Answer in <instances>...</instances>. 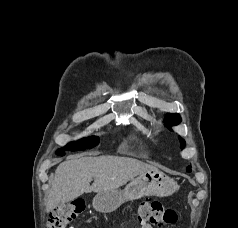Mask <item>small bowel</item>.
<instances>
[{
	"label": "small bowel",
	"mask_w": 238,
	"mask_h": 228,
	"mask_svg": "<svg viewBox=\"0 0 238 228\" xmlns=\"http://www.w3.org/2000/svg\"><path fill=\"white\" fill-rule=\"evenodd\" d=\"M140 228H153V226L150 224H141Z\"/></svg>",
	"instance_id": "obj_1"
}]
</instances>
